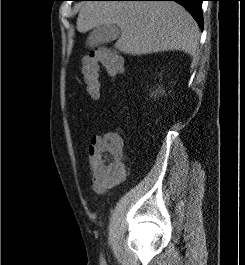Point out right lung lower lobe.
Segmentation results:
<instances>
[{"mask_svg":"<svg viewBox=\"0 0 245 265\" xmlns=\"http://www.w3.org/2000/svg\"><path fill=\"white\" fill-rule=\"evenodd\" d=\"M124 1V0H123ZM126 1H175L184 6L203 30L202 1L203 0H126Z\"/></svg>","mask_w":245,"mask_h":265,"instance_id":"right-lung-lower-lobe-1","label":"right lung lower lobe"}]
</instances>
